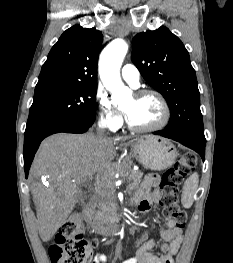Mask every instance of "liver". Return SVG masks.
I'll use <instances>...</instances> for the list:
<instances>
[{
    "instance_id": "obj_1",
    "label": "liver",
    "mask_w": 233,
    "mask_h": 263,
    "mask_svg": "<svg viewBox=\"0 0 233 263\" xmlns=\"http://www.w3.org/2000/svg\"><path fill=\"white\" fill-rule=\"evenodd\" d=\"M127 139L100 141L92 133H59L43 140L31 167L37 180L46 176L48 181L47 186L40 182L31 185L42 241H49L73 211L82 195L79 180L105 179L116 155L115 144Z\"/></svg>"
}]
</instances>
